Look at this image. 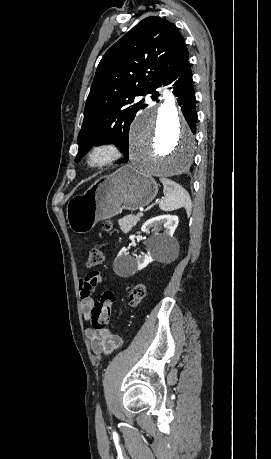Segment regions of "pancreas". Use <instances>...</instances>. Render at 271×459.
I'll return each mask as SVG.
<instances>
[{"label": "pancreas", "mask_w": 271, "mask_h": 459, "mask_svg": "<svg viewBox=\"0 0 271 459\" xmlns=\"http://www.w3.org/2000/svg\"><path fill=\"white\" fill-rule=\"evenodd\" d=\"M141 217L139 216H132V214H130V216H124V218H121V220H119L118 224L120 226V229H122V231H124V233H127V231H130V229L134 228V226H136L137 222H139Z\"/></svg>", "instance_id": "pancreas-1"}]
</instances>
